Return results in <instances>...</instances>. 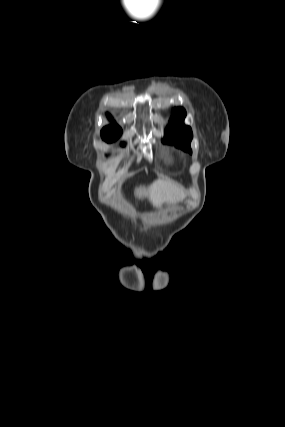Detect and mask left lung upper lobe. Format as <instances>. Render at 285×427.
I'll return each mask as SVG.
<instances>
[{"instance_id":"left-lung-upper-lobe-1","label":"left lung upper lobe","mask_w":285,"mask_h":427,"mask_svg":"<svg viewBox=\"0 0 285 427\" xmlns=\"http://www.w3.org/2000/svg\"><path fill=\"white\" fill-rule=\"evenodd\" d=\"M185 116L186 111L183 108L179 107L173 110L163 142L175 145L177 148L192 153L190 142L193 138V134L191 128L184 125L183 121Z\"/></svg>"}]
</instances>
